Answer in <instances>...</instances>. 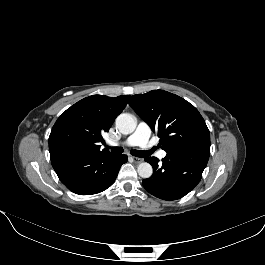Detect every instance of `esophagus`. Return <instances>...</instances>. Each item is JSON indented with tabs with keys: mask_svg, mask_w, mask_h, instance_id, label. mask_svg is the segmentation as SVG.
Instances as JSON below:
<instances>
[{
	"mask_svg": "<svg viewBox=\"0 0 265 265\" xmlns=\"http://www.w3.org/2000/svg\"><path fill=\"white\" fill-rule=\"evenodd\" d=\"M133 160H134L135 163H141V162H143V159L142 158L133 157Z\"/></svg>",
	"mask_w": 265,
	"mask_h": 265,
	"instance_id": "esophagus-1",
	"label": "esophagus"
}]
</instances>
